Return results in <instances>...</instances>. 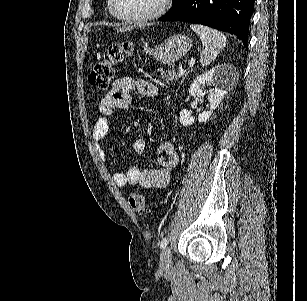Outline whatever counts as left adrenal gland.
Here are the masks:
<instances>
[{
  "instance_id": "a2214340",
  "label": "left adrenal gland",
  "mask_w": 307,
  "mask_h": 301,
  "mask_svg": "<svg viewBox=\"0 0 307 301\" xmlns=\"http://www.w3.org/2000/svg\"><path fill=\"white\" fill-rule=\"evenodd\" d=\"M184 78H185V76H184ZM184 78H182L181 82H183Z\"/></svg>"
}]
</instances>
